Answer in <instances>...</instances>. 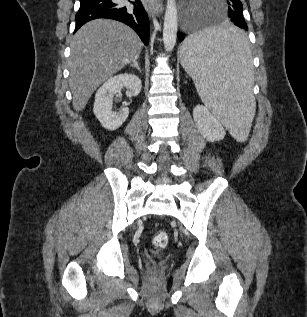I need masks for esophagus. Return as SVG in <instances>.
<instances>
[{
    "label": "esophagus",
    "instance_id": "obj_1",
    "mask_svg": "<svg viewBox=\"0 0 307 317\" xmlns=\"http://www.w3.org/2000/svg\"><path fill=\"white\" fill-rule=\"evenodd\" d=\"M148 14L158 16L162 11V0H142Z\"/></svg>",
    "mask_w": 307,
    "mask_h": 317
}]
</instances>
